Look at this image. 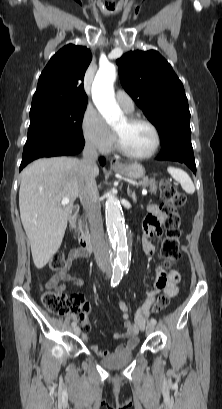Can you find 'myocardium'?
Segmentation results:
<instances>
[{"mask_svg": "<svg viewBox=\"0 0 222 409\" xmlns=\"http://www.w3.org/2000/svg\"><path fill=\"white\" fill-rule=\"evenodd\" d=\"M126 119H127L129 124L142 123V124H145V125L149 126L152 129V131L154 133V136H155L154 146L148 153H145V154L131 153L124 147V145L121 142L120 137L115 132V144H116L117 150L123 156H125L127 158H130V159H135V160H144V159H148V158H151L152 156H154L157 153V151L159 150L160 145H161V135H160V132H159V129L157 128V126L152 121H150L149 119L141 117V116L131 115V116H128Z\"/></svg>", "mask_w": 222, "mask_h": 409, "instance_id": "obj_1", "label": "myocardium"}]
</instances>
